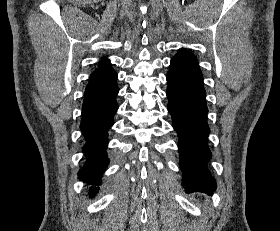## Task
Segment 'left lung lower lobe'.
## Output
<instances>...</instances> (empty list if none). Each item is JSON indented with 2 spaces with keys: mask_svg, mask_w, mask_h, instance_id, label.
I'll return each mask as SVG.
<instances>
[{
  "mask_svg": "<svg viewBox=\"0 0 280 231\" xmlns=\"http://www.w3.org/2000/svg\"><path fill=\"white\" fill-rule=\"evenodd\" d=\"M166 79L168 111L179 137L183 187L187 193L212 194L216 183L206 167L211 152L207 146L208 109L202 73L170 69Z\"/></svg>",
  "mask_w": 280,
  "mask_h": 231,
  "instance_id": "1",
  "label": "left lung lower lobe"
}]
</instances>
